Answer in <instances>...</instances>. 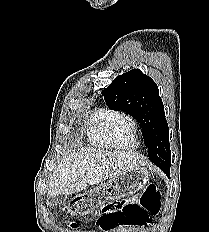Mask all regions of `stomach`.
Instances as JSON below:
<instances>
[{"instance_id": "1", "label": "stomach", "mask_w": 209, "mask_h": 232, "mask_svg": "<svg viewBox=\"0 0 209 232\" xmlns=\"http://www.w3.org/2000/svg\"><path fill=\"white\" fill-rule=\"evenodd\" d=\"M149 171L145 167H137L129 171H121V175L114 176L110 182H104V186L92 188L86 194H75L74 198L66 202L68 214H91L102 209L105 203H112L113 199H125L126 195H132L145 187L149 181Z\"/></svg>"}]
</instances>
